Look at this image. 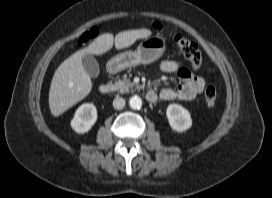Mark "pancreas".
<instances>
[{
  "mask_svg": "<svg viewBox=\"0 0 272 198\" xmlns=\"http://www.w3.org/2000/svg\"><path fill=\"white\" fill-rule=\"evenodd\" d=\"M134 87L137 89L140 88L138 85L131 82L128 78H123L122 80H118L114 83V89L120 93H126L130 90L132 91Z\"/></svg>",
  "mask_w": 272,
  "mask_h": 198,
  "instance_id": "1",
  "label": "pancreas"
}]
</instances>
